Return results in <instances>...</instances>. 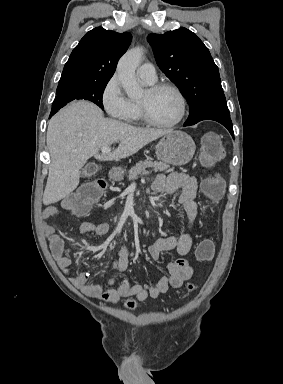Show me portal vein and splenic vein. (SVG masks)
<instances>
[{"mask_svg":"<svg viewBox=\"0 0 283 384\" xmlns=\"http://www.w3.org/2000/svg\"><path fill=\"white\" fill-rule=\"evenodd\" d=\"M109 152H111L110 148H107V146H105V148H102V154H109ZM145 174H147V172H145Z\"/></svg>","mask_w":283,"mask_h":384,"instance_id":"portal-vein-and-splenic-vein-1","label":"portal vein and splenic vein"}]
</instances>
